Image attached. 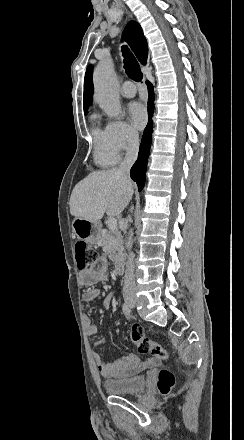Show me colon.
Returning <instances> with one entry per match:
<instances>
[{
  "mask_svg": "<svg viewBox=\"0 0 244 440\" xmlns=\"http://www.w3.org/2000/svg\"><path fill=\"white\" fill-rule=\"evenodd\" d=\"M99 254L95 249H89L85 241H78L75 244L76 267L79 271H84L88 265L95 264L98 261ZM130 332L131 341L137 345L141 354H149L161 359H168L169 353L156 341L145 336L143 329L139 324H135ZM174 382V377L169 372H162L157 381V386L162 395H167Z\"/></svg>",
  "mask_w": 244,
  "mask_h": 440,
  "instance_id": "obj_1",
  "label": "colon"
}]
</instances>
